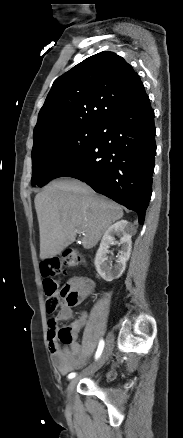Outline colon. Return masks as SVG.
I'll return each instance as SVG.
<instances>
[{
	"instance_id": "colon-1",
	"label": "colon",
	"mask_w": 183,
	"mask_h": 438,
	"mask_svg": "<svg viewBox=\"0 0 183 438\" xmlns=\"http://www.w3.org/2000/svg\"><path fill=\"white\" fill-rule=\"evenodd\" d=\"M83 262L84 258L77 250L67 249L61 255L41 263L40 269L43 276V288L46 297L45 307L47 313L56 312L62 301L72 306L78 304V293L72 290L68 285H64L59 289L55 277L62 272L63 268L74 267ZM50 329L56 333L62 343H70L74 339L75 333L71 326H65L57 331L55 320H51Z\"/></svg>"
}]
</instances>
